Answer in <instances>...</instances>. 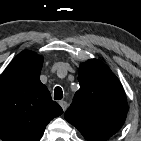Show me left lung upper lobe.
<instances>
[{
	"label": "left lung upper lobe",
	"mask_w": 141,
	"mask_h": 141,
	"mask_svg": "<svg viewBox=\"0 0 141 141\" xmlns=\"http://www.w3.org/2000/svg\"><path fill=\"white\" fill-rule=\"evenodd\" d=\"M80 89L65 119L88 141H106L124 124L128 104L118 78L102 61L91 59L78 71Z\"/></svg>",
	"instance_id": "obj_1"
}]
</instances>
